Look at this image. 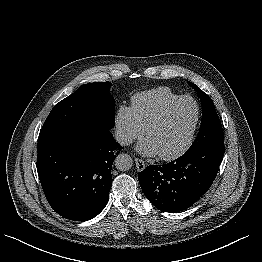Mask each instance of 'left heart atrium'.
<instances>
[{
    "label": "left heart atrium",
    "instance_id": "obj_1",
    "mask_svg": "<svg viewBox=\"0 0 262 262\" xmlns=\"http://www.w3.org/2000/svg\"><path fill=\"white\" fill-rule=\"evenodd\" d=\"M136 150L144 156H156L159 154L157 147L149 137L140 142Z\"/></svg>",
    "mask_w": 262,
    "mask_h": 262
}]
</instances>
